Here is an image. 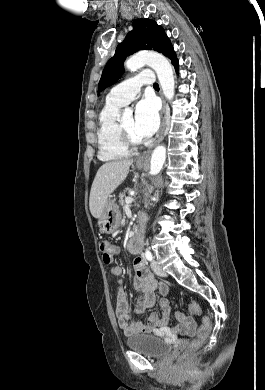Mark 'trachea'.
Returning <instances> with one entry per match:
<instances>
[{"instance_id": "trachea-1", "label": "trachea", "mask_w": 265, "mask_h": 390, "mask_svg": "<svg viewBox=\"0 0 265 390\" xmlns=\"http://www.w3.org/2000/svg\"><path fill=\"white\" fill-rule=\"evenodd\" d=\"M153 87H154V88H159V85H158L157 83H154V84H153Z\"/></svg>"}]
</instances>
